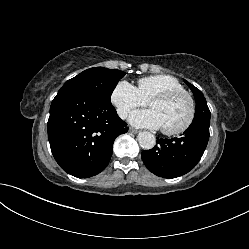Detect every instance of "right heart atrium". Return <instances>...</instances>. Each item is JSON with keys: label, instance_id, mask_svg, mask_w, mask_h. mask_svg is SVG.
<instances>
[{"label": "right heart atrium", "instance_id": "1", "mask_svg": "<svg viewBox=\"0 0 249 249\" xmlns=\"http://www.w3.org/2000/svg\"><path fill=\"white\" fill-rule=\"evenodd\" d=\"M110 100L117 114L125 119L132 109L143 107L147 102L142 98L138 89L127 81H119L113 88Z\"/></svg>", "mask_w": 249, "mask_h": 249}]
</instances>
